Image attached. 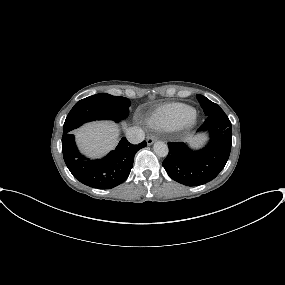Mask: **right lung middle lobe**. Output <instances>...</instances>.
<instances>
[{"mask_svg":"<svg viewBox=\"0 0 285 285\" xmlns=\"http://www.w3.org/2000/svg\"><path fill=\"white\" fill-rule=\"evenodd\" d=\"M130 104L128 98L106 93L84 98L78 101L69 112L63 126V134L93 120L112 119L118 122L128 116Z\"/></svg>","mask_w":285,"mask_h":285,"instance_id":"right-lung-middle-lobe-1","label":"right lung middle lobe"}]
</instances>
